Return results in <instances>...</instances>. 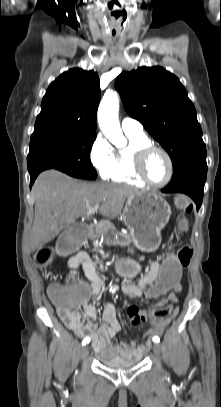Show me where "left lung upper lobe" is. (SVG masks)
Returning a JSON list of instances; mask_svg holds the SVG:
<instances>
[{"label": "left lung upper lobe", "mask_w": 221, "mask_h": 407, "mask_svg": "<svg viewBox=\"0 0 221 407\" xmlns=\"http://www.w3.org/2000/svg\"><path fill=\"white\" fill-rule=\"evenodd\" d=\"M115 87L127 113L168 152L173 175L189 163L206 158L195 107L175 75L159 66L140 67L121 73Z\"/></svg>", "instance_id": "left-lung-upper-lobe-1"}]
</instances>
